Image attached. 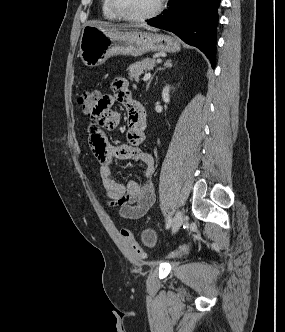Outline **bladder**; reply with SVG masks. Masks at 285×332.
<instances>
[{
    "mask_svg": "<svg viewBox=\"0 0 285 332\" xmlns=\"http://www.w3.org/2000/svg\"><path fill=\"white\" fill-rule=\"evenodd\" d=\"M141 237L143 242L147 245H153L155 242V234L151 230H144Z\"/></svg>",
    "mask_w": 285,
    "mask_h": 332,
    "instance_id": "bladder-1",
    "label": "bladder"
}]
</instances>
